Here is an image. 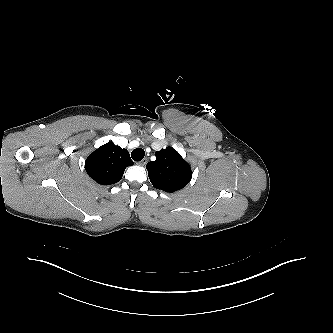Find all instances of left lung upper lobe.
<instances>
[{
	"instance_id": "left-lung-upper-lobe-1",
	"label": "left lung upper lobe",
	"mask_w": 333,
	"mask_h": 333,
	"mask_svg": "<svg viewBox=\"0 0 333 333\" xmlns=\"http://www.w3.org/2000/svg\"><path fill=\"white\" fill-rule=\"evenodd\" d=\"M156 160L147 164L152 185L166 192L185 187L191 180L192 170L188 162L172 147L155 153Z\"/></svg>"
}]
</instances>
